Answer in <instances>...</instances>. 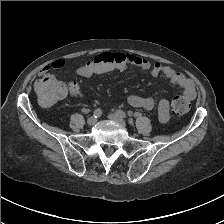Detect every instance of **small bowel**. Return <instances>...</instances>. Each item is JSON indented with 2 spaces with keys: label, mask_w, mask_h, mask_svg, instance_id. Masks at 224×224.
Segmentation results:
<instances>
[{
  "label": "small bowel",
  "mask_w": 224,
  "mask_h": 224,
  "mask_svg": "<svg viewBox=\"0 0 224 224\" xmlns=\"http://www.w3.org/2000/svg\"><path fill=\"white\" fill-rule=\"evenodd\" d=\"M110 57H113L118 63V69L120 71L125 70L128 66L132 65L143 71H150L153 76L164 74L170 82L179 87L185 97L189 100H193L196 95L195 85L192 80L186 78L183 74L179 73L170 66L163 65L160 62L151 63L146 58L136 56L131 53H105ZM65 65L64 59H55L48 65H46L40 71V80L46 77H52L50 71L61 69ZM78 73L82 76H94L99 75L95 73L90 66H82L79 68ZM72 89V95L83 96L81 90L77 84H69ZM128 103L134 108H143L151 110L154 108L156 102L152 97H145L140 95H130L128 97ZM158 114L161 122H167L169 119V101L166 98H162L158 102Z\"/></svg>",
  "instance_id": "1"
}]
</instances>
